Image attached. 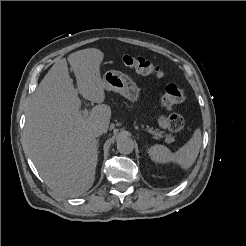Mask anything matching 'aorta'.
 I'll return each instance as SVG.
<instances>
[{
    "mask_svg": "<svg viewBox=\"0 0 246 246\" xmlns=\"http://www.w3.org/2000/svg\"><path fill=\"white\" fill-rule=\"evenodd\" d=\"M117 150L121 154H130L134 150L133 140L126 134L117 137Z\"/></svg>",
    "mask_w": 246,
    "mask_h": 246,
    "instance_id": "1",
    "label": "aorta"
}]
</instances>
